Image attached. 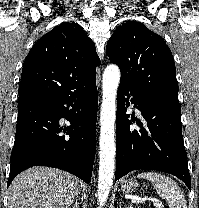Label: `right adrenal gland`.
Here are the masks:
<instances>
[{
  "instance_id": "2a0ac1e0",
  "label": "right adrenal gland",
  "mask_w": 199,
  "mask_h": 208,
  "mask_svg": "<svg viewBox=\"0 0 199 208\" xmlns=\"http://www.w3.org/2000/svg\"><path fill=\"white\" fill-rule=\"evenodd\" d=\"M72 208H79L78 202H75V203L73 204Z\"/></svg>"
}]
</instances>
